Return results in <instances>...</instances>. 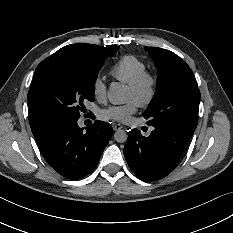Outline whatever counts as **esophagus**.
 <instances>
[{
	"instance_id": "1",
	"label": "esophagus",
	"mask_w": 233,
	"mask_h": 233,
	"mask_svg": "<svg viewBox=\"0 0 233 233\" xmlns=\"http://www.w3.org/2000/svg\"><path fill=\"white\" fill-rule=\"evenodd\" d=\"M112 127H113V130H114V131H118V130H120V129L123 128V126H122L121 124H118V123H114V124L112 125Z\"/></svg>"
}]
</instances>
